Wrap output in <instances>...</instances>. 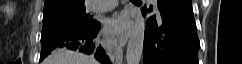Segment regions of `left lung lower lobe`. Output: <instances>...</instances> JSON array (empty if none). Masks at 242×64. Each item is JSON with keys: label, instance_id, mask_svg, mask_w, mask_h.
<instances>
[{"label": "left lung lower lobe", "instance_id": "0a47b994", "mask_svg": "<svg viewBox=\"0 0 242 64\" xmlns=\"http://www.w3.org/2000/svg\"><path fill=\"white\" fill-rule=\"evenodd\" d=\"M158 9L159 17L147 21L144 64H199L192 1L158 0Z\"/></svg>", "mask_w": 242, "mask_h": 64}]
</instances>
